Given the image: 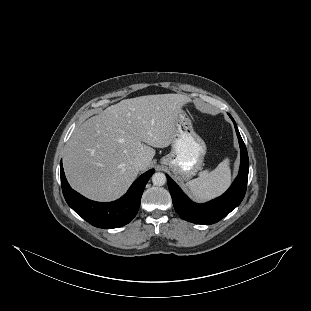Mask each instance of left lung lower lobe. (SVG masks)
Returning a JSON list of instances; mask_svg holds the SVG:
<instances>
[{"instance_id": "obj_1", "label": "left lung lower lobe", "mask_w": 311, "mask_h": 311, "mask_svg": "<svg viewBox=\"0 0 311 311\" xmlns=\"http://www.w3.org/2000/svg\"><path fill=\"white\" fill-rule=\"evenodd\" d=\"M229 116L234 123L239 139L241 163L237 178L222 196L204 204L194 203L181 191L178 185L166 175L175 210L179 216L186 221L205 225L216 223L235 209L245 196L249 169L248 153L234 119L230 114Z\"/></svg>"}]
</instances>
